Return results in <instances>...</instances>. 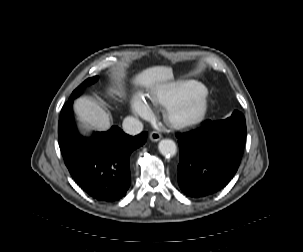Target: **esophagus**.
Masks as SVG:
<instances>
[{"label":"esophagus","mask_w":303,"mask_h":252,"mask_svg":"<svg viewBox=\"0 0 303 252\" xmlns=\"http://www.w3.org/2000/svg\"><path fill=\"white\" fill-rule=\"evenodd\" d=\"M149 138L151 141L157 142L162 138V135L157 131H153L150 133Z\"/></svg>","instance_id":"34e87169"}]
</instances>
